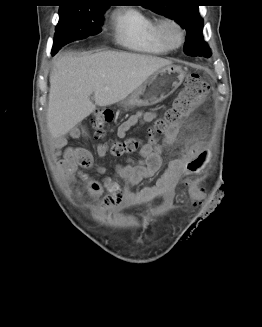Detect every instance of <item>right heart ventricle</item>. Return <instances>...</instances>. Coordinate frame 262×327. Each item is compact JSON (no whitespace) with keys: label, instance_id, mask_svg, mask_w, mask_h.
<instances>
[{"label":"right heart ventricle","instance_id":"e07e8e85","mask_svg":"<svg viewBox=\"0 0 262 327\" xmlns=\"http://www.w3.org/2000/svg\"><path fill=\"white\" fill-rule=\"evenodd\" d=\"M158 20L140 10L128 8L119 11L114 20V37L122 47L147 54H166L172 48L161 39Z\"/></svg>","mask_w":262,"mask_h":327}]
</instances>
